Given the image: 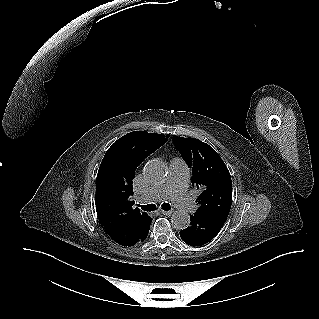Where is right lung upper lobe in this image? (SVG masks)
Wrapping results in <instances>:
<instances>
[{
  "label": "right lung upper lobe",
  "mask_w": 319,
  "mask_h": 319,
  "mask_svg": "<svg viewBox=\"0 0 319 319\" xmlns=\"http://www.w3.org/2000/svg\"><path fill=\"white\" fill-rule=\"evenodd\" d=\"M169 135L134 131L119 138L106 152L96 179V210L107 234L129 246L131 237L149 217L133 208L135 169L168 140Z\"/></svg>",
  "instance_id": "cb5924a9"
}]
</instances>
